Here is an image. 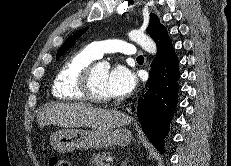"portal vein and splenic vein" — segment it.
I'll return each mask as SVG.
<instances>
[{
    "label": "portal vein and splenic vein",
    "mask_w": 231,
    "mask_h": 166,
    "mask_svg": "<svg viewBox=\"0 0 231 166\" xmlns=\"http://www.w3.org/2000/svg\"><path fill=\"white\" fill-rule=\"evenodd\" d=\"M106 161L109 162V163H111V162L113 161V158H112V157H108V158L106 159Z\"/></svg>",
    "instance_id": "18ae733b"
}]
</instances>
